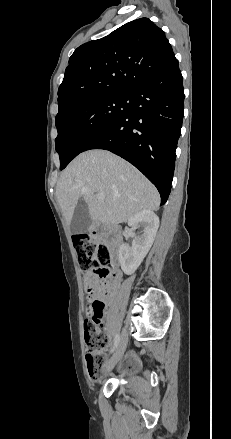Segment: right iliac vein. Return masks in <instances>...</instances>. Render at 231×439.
<instances>
[{
  "mask_svg": "<svg viewBox=\"0 0 231 439\" xmlns=\"http://www.w3.org/2000/svg\"><path fill=\"white\" fill-rule=\"evenodd\" d=\"M127 343H128V335H127V332L124 331L114 354L112 355V357L108 360V362L105 365L106 371H110L111 369H113L115 367V365L119 362V360L122 358V356L126 350Z\"/></svg>",
  "mask_w": 231,
  "mask_h": 439,
  "instance_id": "right-iliac-vein-1",
  "label": "right iliac vein"
}]
</instances>
